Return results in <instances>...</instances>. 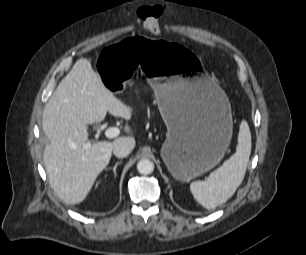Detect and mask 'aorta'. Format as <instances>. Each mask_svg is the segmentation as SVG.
Here are the masks:
<instances>
[{
    "instance_id": "aorta-1",
    "label": "aorta",
    "mask_w": 306,
    "mask_h": 255,
    "mask_svg": "<svg viewBox=\"0 0 306 255\" xmlns=\"http://www.w3.org/2000/svg\"><path fill=\"white\" fill-rule=\"evenodd\" d=\"M137 170L141 174H145V175L150 174L154 170V164L152 161L148 159H141L137 163Z\"/></svg>"
}]
</instances>
